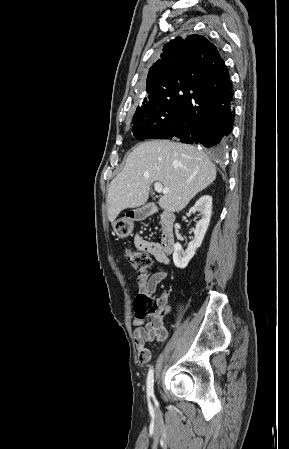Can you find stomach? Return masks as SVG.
Returning <instances> with one entry per match:
<instances>
[{
	"label": "stomach",
	"instance_id": "obj_1",
	"mask_svg": "<svg viewBox=\"0 0 289 449\" xmlns=\"http://www.w3.org/2000/svg\"><path fill=\"white\" fill-rule=\"evenodd\" d=\"M134 219L130 217H123L113 223V229L118 238H127L133 231Z\"/></svg>",
	"mask_w": 289,
	"mask_h": 449
}]
</instances>
